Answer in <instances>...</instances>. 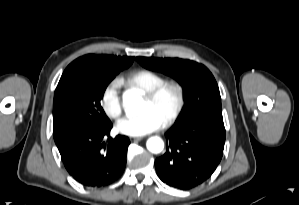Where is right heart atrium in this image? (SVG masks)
Returning a JSON list of instances; mask_svg holds the SVG:
<instances>
[{
    "label": "right heart atrium",
    "instance_id": "obj_1",
    "mask_svg": "<svg viewBox=\"0 0 299 205\" xmlns=\"http://www.w3.org/2000/svg\"><path fill=\"white\" fill-rule=\"evenodd\" d=\"M119 86V80H111L103 88L100 96L101 107L104 113L111 119H118L123 111V106L119 95Z\"/></svg>",
    "mask_w": 299,
    "mask_h": 205
}]
</instances>
